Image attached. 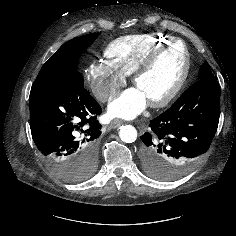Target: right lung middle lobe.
<instances>
[{"label":"right lung middle lobe","mask_w":236,"mask_h":236,"mask_svg":"<svg viewBox=\"0 0 236 236\" xmlns=\"http://www.w3.org/2000/svg\"><path fill=\"white\" fill-rule=\"evenodd\" d=\"M99 33H91L69 40L42 66L35 81L59 82L72 78L84 85L83 77L77 71L80 54L98 37ZM51 168L67 181H80L88 178L96 167V160L89 158L81 163H50Z\"/></svg>","instance_id":"right-lung-middle-lobe-1"}]
</instances>
